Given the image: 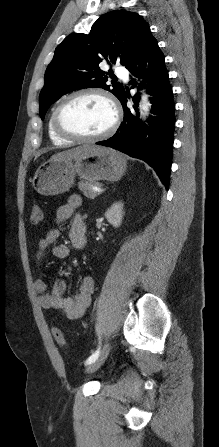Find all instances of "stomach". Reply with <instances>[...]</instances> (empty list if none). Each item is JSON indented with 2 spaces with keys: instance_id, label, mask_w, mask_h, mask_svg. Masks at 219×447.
<instances>
[{
  "instance_id": "obj_1",
  "label": "stomach",
  "mask_w": 219,
  "mask_h": 447,
  "mask_svg": "<svg viewBox=\"0 0 219 447\" xmlns=\"http://www.w3.org/2000/svg\"><path fill=\"white\" fill-rule=\"evenodd\" d=\"M126 170L123 156L110 148L77 160H48L38 167L32 179L34 189L41 195H57L68 191L74 184L75 176L89 181H117Z\"/></svg>"
}]
</instances>
